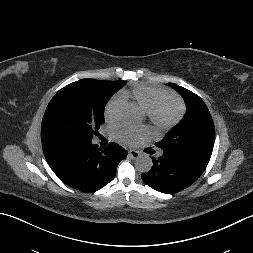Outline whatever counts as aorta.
<instances>
[{
	"label": "aorta",
	"mask_w": 253,
	"mask_h": 253,
	"mask_svg": "<svg viewBox=\"0 0 253 253\" xmlns=\"http://www.w3.org/2000/svg\"><path fill=\"white\" fill-rule=\"evenodd\" d=\"M121 116L124 122L136 124L142 119V111L135 104H127L123 107ZM152 166V159L147 154H142L136 159L135 167L141 173L150 171Z\"/></svg>",
	"instance_id": "obj_1"
}]
</instances>
